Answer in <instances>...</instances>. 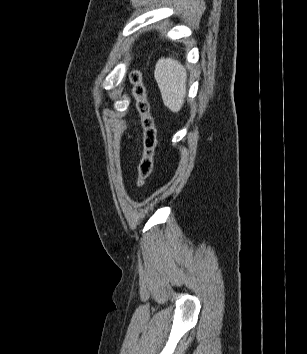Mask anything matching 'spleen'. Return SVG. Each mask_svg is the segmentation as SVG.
<instances>
[{
	"mask_svg": "<svg viewBox=\"0 0 307 354\" xmlns=\"http://www.w3.org/2000/svg\"><path fill=\"white\" fill-rule=\"evenodd\" d=\"M154 77L164 105L177 113L182 108L186 95L185 68L172 57L161 58L156 63Z\"/></svg>",
	"mask_w": 307,
	"mask_h": 354,
	"instance_id": "obj_1",
	"label": "spleen"
}]
</instances>
